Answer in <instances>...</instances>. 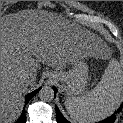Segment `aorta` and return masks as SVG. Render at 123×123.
Instances as JSON below:
<instances>
[{"instance_id": "aorta-1", "label": "aorta", "mask_w": 123, "mask_h": 123, "mask_svg": "<svg viewBox=\"0 0 123 123\" xmlns=\"http://www.w3.org/2000/svg\"><path fill=\"white\" fill-rule=\"evenodd\" d=\"M39 97L44 102H49L54 98V91L51 87L45 86L39 91Z\"/></svg>"}]
</instances>
